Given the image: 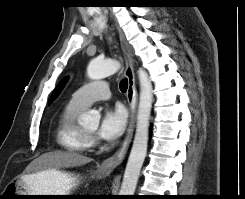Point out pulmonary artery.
Here are the masks:
<instances>
[{
	"label": "pulmonary artery",
	"instance_id": "pulmonary-artery-1",
	"mask_svg": "<svg viewBox=\"0 0 245 199\" xmlns=\"http://www.w3.org/2000/svg\"><path fill=\"white\" fill-rule=\"evenodd\" d=\"M111 96L109 86L104 81H95L79 88L71 97L72 105L85 109L95 101L107 100Z\"/></svg>",
	"mask_w": 245,
	"mask_h": 199
}]
</instances>
